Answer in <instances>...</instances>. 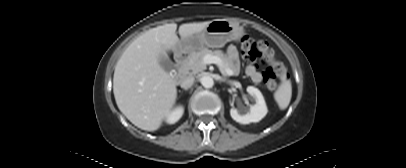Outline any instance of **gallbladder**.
Wrapping results in <instances>:
<instances>
[{
  "label": "gallbladder",
  "instance_id": "gallbladder-1",
  "mask_svg": "<svg viewBox=\"0 0 406 168\" xmlns=\"http://www.w3.org/2000/svg\"><path fill=\"white\" fill-rule=\"evenodd\" d=\"M160 65L166 72H170L174 69V63L168 57L161 58Z\"/></svg>",
  "mask_w": 406,
  "mask_h": 168
}]
</instances>
